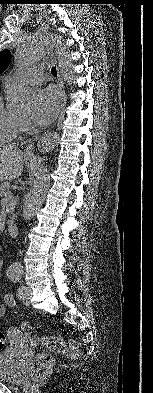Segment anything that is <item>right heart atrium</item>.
Segmentation results:
<instances>
[{"mask_svg":"<svg viewBox=\"0 0 153 393\" xmlns=\"http://www.w3.org/2000/svg\"><path fill=\"white\" fill-rule=\"evenodd\" d=\"M23 131H29L31 129L30 124L27 121H22Z\"/></svg>","mask_w":153,"mask_h":393,"instance_id":"obj_1","label":"right heart atrium"}]
</instances>
